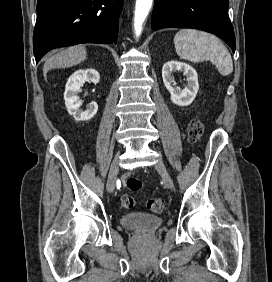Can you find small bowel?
Wrapping results in <instances>:
<instances>
[{
	"mask_svg": "<svg viewBox=\"0 0 272 282\" xmlns=\"http://www.w3.org/2000/svg\"><path fill=\"white\" fill-rule=\"evenodd\" d=\"M127 180V175L122 176V181L125 182Z\"/></svg>",
	"mask_w": 272,
	"mask_h": 282,
	"instance_id": "small-bowel-1",
	"label": "small bowel"
}]
</instances>
